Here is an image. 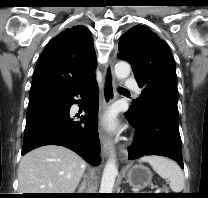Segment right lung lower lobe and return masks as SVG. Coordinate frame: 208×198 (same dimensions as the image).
I'll use <instances>...</instances> for the list:
<instances>
[{"mask_svg": "<svg viewBox=\"0 0 208 198\" xmlns=\"http://www.w3.org/2000/svg\"><path fill=\"white\" fill-rule=\"evenodd\" d=\"M78 95L86 100L83 107L86 115L80 117L83 122H74L69 113L72 104L78 103L74 99ZM98 104L96 76L67 95L29 104L21 155L43 145H60L76 152L88 163L100 165Z\"/></svg>", "mask_w": 208, "mask_h": 198, "instance_id": "1", "label": "right lung lower lobe"}]
</instances>
